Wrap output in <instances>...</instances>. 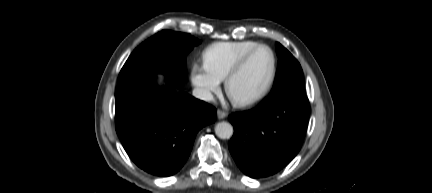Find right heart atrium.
Returning <instances> with one entry per match:
<instances>
[{
	"instance_id": "d8ad5b80",
	"label": "right heart atrium",
	"mask_w": 432,
	"mask_h": 193,
	"mask_svg": "<svg viewBox=\"0 0 432 193\" xmlns=\"http://www.w3.org/2000/svg\"><path fill=\"white\" fill-rule=\"evenodd\" d=\"M191 82L200 98L210 101L220 90V81L213 76L205 64L194 62L191 66Z\"/></svg>"
}]
</instances>
